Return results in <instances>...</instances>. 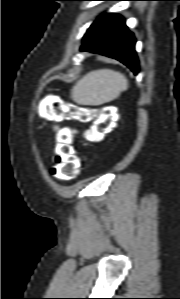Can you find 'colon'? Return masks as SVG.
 Returning a JSON list of instances; mask_svg holds the SVG:
<instances>
[{
    "instance_id": "obj_1",
    "label": "colon",
    "mask_w": 180,
    "mask_h": 299,
    "mask_svg": "<svg viewBox=\"0 0 180 299\" xmlns=\"http://www.w3.org/2000/svg\"><path fill=\"white\" fill-rule=\"evenodd\" d=\"M52 119L72 118L80 122H92L85 137L90 141L104 138L115 122L116 111L111 107H104L98 114L96 110L79 105L66 107L62 102H55L48 112ZM72 132L62 130L56 137L54 148V163L51 174L60 180L70 181L80 172L81 162L75 155L72 144Z\"/></svg>"
}]
</instances>
